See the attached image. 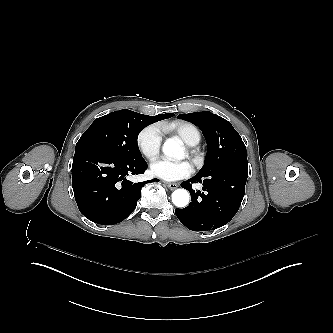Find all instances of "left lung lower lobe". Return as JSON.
<instances>
[{
    "label": "left lung lower lobe",
    "instance_id": "1",
    "mask_svg": "<svg viewBox=\"0 0 333 333\" xmlns=\"http://www.w3.org/2000/svg\"><path fill=\"white\" fill-rule=\"evenodd\" d=\"M247 164H230L210 176L193 178L181 183L191 194L184 209H175L177 218L192 231L214 230L227 224L237 213L245 194ZM203 183L205 192L192 189V183Z\"/></svg>",
    "mask_w": 333,
    "mask_h": 333
}]
</instances>
